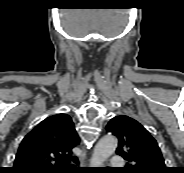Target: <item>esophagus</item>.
<instances>
[{
    "mask_svg": "<svg viewBox=\"0 0 184 173\" xmlns=\"http://www.w3.org/2000/svg\"><path fill=\"white\" fill-rule=\"evenodd\" d=\"M80 164L82 166L87 165V156H86V151L85 150H83L81 155H80Z\"/></svg>",
    "mask_w": 184,
    "mask_h": 173,
    "instance_id": "esophagus-1",
    "label": "esophagus"
}]
</instances>
